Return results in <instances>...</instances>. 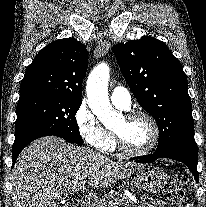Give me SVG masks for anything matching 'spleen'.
<instances>
[{
  "instance_id": "spleen-1",
  "label": "spleen",
  "mask_w": 206,
  "mask_h": 207,
  "mask_svg": "<svg viewBox=\"0 0 206 207\" xmlns=\"http://www.w3.org/2000/svg\"><path fill=\"white\" fill-rule=\"evenodd\" d=\"M187 207H193V205L192 204H188Z\"/></svg>"
}]
</instances>
